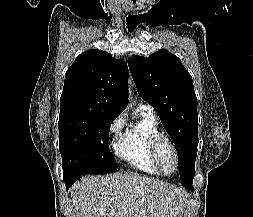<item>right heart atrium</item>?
I'll return each mask as SVG.
<instances>
[{
  "label": "right heart atrium",
  "instance_id": "d8ad5b80",
  "mask_svg": "<svg viewBox=\"0 0 253 217\" xmlns=\"http://www.w3.org/2000/svg\"><path fill=\"white\" fill-rule=\"evenodd\" d=\"M122 125H123V118L121 116H118L111 122L109 126V133L111 135L118 134L122 128Z\"/></svg>",
  "mask_w": 253,
  "mask_h": 217
}]
</instances>
